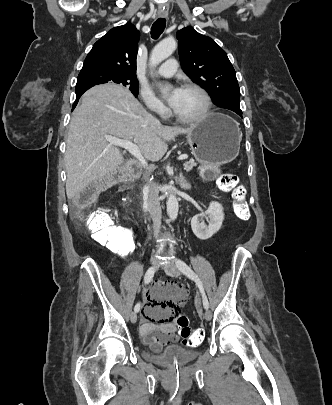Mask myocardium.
Segmentation results:
<instances>
[{"instance_id": "obj_1", "label": "myocardium", "mask_w": 332, "mask_h": 405, "mask_svg": "<svg viewBox=\"0 0 332 405\" xmlns=\"http://www.w3.org/2000/svg\"><path fill=\"white\" fill-rule=\"evenodd\" d=\"M182 89L193 90V91L198 92L204 100V107L197 116L192 117V118L181 117L174 111V109H172L171 114H172L173 118H175L177 121H179L181 123H185V124H194V123L201 122L202 120H204L207 117V115L209 114V112L211 110L212 100H211L210 95L203 87H201L200 85L195 84V83H186L182 86Z\"/></svg>"}]
</instances>
